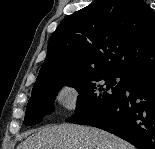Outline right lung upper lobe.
<instances>
[{"instance_id": "1", "label": "right lung upper lobe", "mask_w": 155, "mask_h": 149, "mask_svg": "<svg viewBox=\"0 0 155 149\" xmlns=\"http://www.w3.org/2000/svg\"><path fill=\"white\" fill-rule=\"evenodd\" d=\"M155 68V15L143 0H98L72 15L49 39L37 81L64 72L127 75Z\"/></svg>"}]
</instances>
